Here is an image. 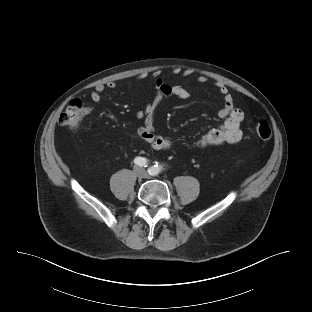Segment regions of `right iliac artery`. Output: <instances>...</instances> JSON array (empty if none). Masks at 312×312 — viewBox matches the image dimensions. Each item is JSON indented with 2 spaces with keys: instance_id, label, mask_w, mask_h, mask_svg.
Segmentation results:
<instances>
[{
  "instance_id": "82829eb1",
  "label": "right iliac artery",
  "mask_w": 312,
  "mask_h": 312,
  "mask_svg": "<svg viewBox=\"0 0 312 312\" xmlns=\"http://www.w3.org/2000/svg\"><path fill=\"white\" fill-rule=\"evenodd\" d=\"M134 163L138 166H141V167H147L148 165V161L146 158H143V157H136L134 159Z\"/></svg>"
}]
</instances>
